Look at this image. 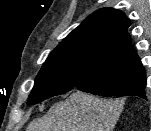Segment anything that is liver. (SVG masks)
<instances>
[{
	"instance_id": "liver-1",
	"label": "liver",
	"mask_w": 151,
	"mask_h": 131,
	"mask_svg": "<svg viewBox=\"0 0 151 131\" xmlns=\"http://www.w3.org/2000/svg\"><path fill=\"white\" fill-rule=\"evenodd\" d=\"M123 109L119 100L102 99L80 91L55 103L27 131H113Z\"/></svg>"
}]
</instances>
